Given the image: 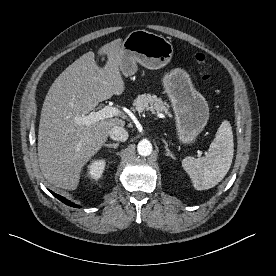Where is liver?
<instances>
[{"label": "liver", "instance_id": "1", "mask_svg": "<svg viewBox=\"0 0 276 276\" xmlns=\"http://www.w3.org/2000/svg\"><path fill=\"white\" fill-rule=\"evenodd\" d=\"M122 39L101 46L107 55L100 68L89 51L69 65L51 85L41 111L38 161L45 179L56 187L75 190L86 163L100 150L114 126L122 119L106 118L89 126L76 122L104 100L124 92L119 62Z\"/></svg>", "mask_w": 276, "mask_h": 276}]
</instances>
